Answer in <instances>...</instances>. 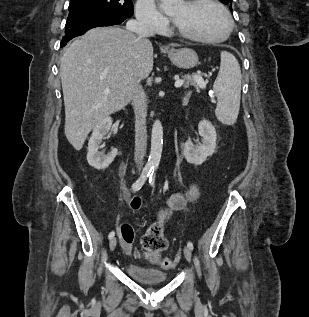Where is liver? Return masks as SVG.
Returning a JSON list of instances; mask_svg holds the SVG:
<instances>
[{"label": "liver", "mask_w": 309, "mask_h": 317, "mask_svg": "<svg viewBox=\"0 0 309 317\" xmlns=\"http://www.w3.org/2000/svg\"><path fill=\"white\" fill-rule=\"evenodd\" d=\"M152 69L151 42L119 27L91 29L65 48L60 63L65 135L76 150L102 119L133 99L136 82Z\"/></svg>", "instance_id": "6515ba94"}]
</instances>
